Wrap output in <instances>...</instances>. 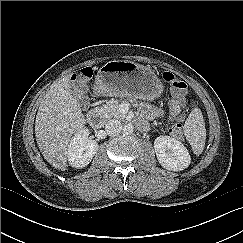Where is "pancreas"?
<instances>
[{
  "instance_id": "cf45deb5",
  "label": "pancreas",
  "mask_w": 243,
  "mask_h": 243,
  "mask_svg": "<svg viewBox=\"0 0 243 243\" xmlns=\"http://www.w3.org/2000/svg\"><path fill=\"white\" fill-rule=\"evenodd\" d=\"M102 118L111 119V118H120L124 114L120 111L119 104L117 102L107 103L99 108Z\"/></svg>"
}]
</instances>
